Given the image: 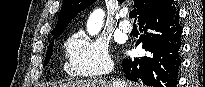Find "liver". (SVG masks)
Wrapping results in <instances>:
<instances>
[{"label":"liver","mask_w":205,"mask_h":87,"mask_svg":"<svg viewBox=\"0 0 205 87\" xmlns=\"http://www.w3.org/2000/svg\"><path fill=\"white\" fill-rule=\"evenodd\" d=\"M126 87H143L142 84H130ZM54 87H113V82L107 81L105 79H94V80H78L73 82H68L60 85H55Z\"/></svg>","instance_id":"obj_1"}]
</instances>
